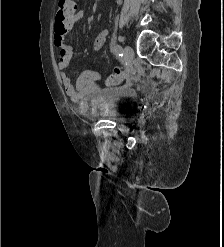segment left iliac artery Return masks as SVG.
I'll use <instances>...</instances> for the list:
<instances>
[{
  "instance_id": "1",
  "label": "left iliac artery",
  "mask_w": 224,
  "mask_h": 247,
  "mask_svg": "<svg viewBox=\"0 0 224 247\" xmlns=\"http://www.w3.org/2000/svg\"><path fill=\"white\" fill-rule=\"evenodd\" d=\"M114 52L117 54V55H119V56H122L123 55V52H122V48H121V46L120 45H115V47H114Z\"/></svg>"
}]
</instances>
